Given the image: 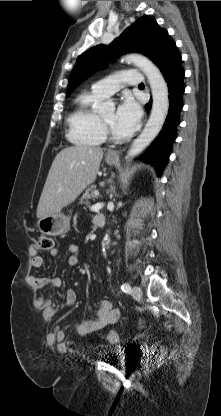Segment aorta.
<instances>
[{
    "label": "aorta",
    "mask_w": 221,
    "mask_h": 416,
    "mask_svg": "<svg viewBox=\"0 0 221 416\" xmlns=\"http://www.w3.org/2000/svg\"><path fill=\"white\" fill-rule=\"evenodd\" d=\"M125 60L133 63L147 77L152 92V110L150 118L141 134L130 146L126 159L131 160L139 155L160 132L169 109L168 87L160 70L147 57L140 54H129ZM110 103H103L99 109L103 110ZM107 240V238H106Z\"/></svg>",
    "instance_id": "762f6f07"
}]
</instances>
